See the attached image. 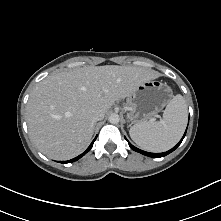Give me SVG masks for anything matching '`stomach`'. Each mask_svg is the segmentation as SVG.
<instances>
[{
	"label": "stomach",
	"mask_w": 221,
	"mask_h": 221,
	"mask_svg": "<svg viewBox=\"0 0 221 221\" xmlns=\"http://www.w3.org/2000/svg\"><path fill=\"white\" fill-rule=\"evenodd\" d=\"M172 96V89L162 81L141 83L127 99L128 119L135 125L147 121L161 111Z\"/></svg>",
	"instance_id": "0dacf381"
}]
</instances>
